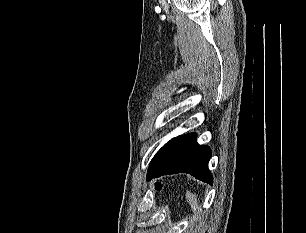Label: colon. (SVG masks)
Listing matches in <instances>:
<instances>
[{
    "label": "colon",
    "mask_w": 306,
    "mask_h": 233,
    "mask_svg": "<svg viewBox=\"0 0 306 233\" xmlns=\"http://www.w3.org/2000/svg\"><path fill=\"white\" fill-rule=\"evenodd\" d=\"M155 187H156V189L159 190V189H161L162 185H161V183H156V184H155Z\"/></svg>",
    "instance_id": "colon-1"
}]
</instances>
